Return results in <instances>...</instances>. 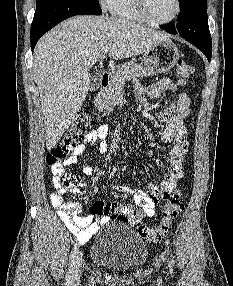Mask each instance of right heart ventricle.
<instances>
[{
    "label": "right heart ventricle",
    "mask_w": 233,
    "mask_h": 286,
    "mask_svg": "<svg viewBox=\"0 0 233 286\" xmlns=\"http://www.w3.org/2000/svg\"><path fill=\"white\" fill-rule=\"evenodd\" d=\"M107 9L117 18L147 23L138 11L134 0H109Z\"/></svg>",
    "instance_id": "obj_1"
}]
</instances>
